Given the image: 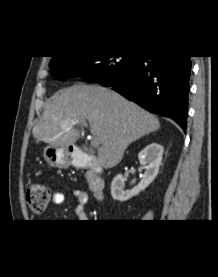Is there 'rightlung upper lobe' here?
I'll return each mask as SVG.
<instances>
[{"label":"right lung upper lobe","instance_id":"1","mask_svg":"<svg viewBox=\"0 0 218 277\" xmlns=\"http://www.w3.org/2000/svg\"><path fill=\"white\" fill-rule=\"evenodd\" d=\"M56 57H60V56H54L52 59L56 58Z\"/></svg>","mask_w":218,"mask_h":277}]
</instances>
